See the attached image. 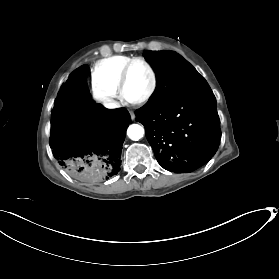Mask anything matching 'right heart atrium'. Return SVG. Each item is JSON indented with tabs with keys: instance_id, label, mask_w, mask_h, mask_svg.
I'll return each mask as SVG.
<instances>
[{
	"instance_id": "1",
	"label": "right heart atrium",
	"mask_w": 279,
	"mask_h": 279,
	"mask_svg": "<svg viewBox=\"0 0 279 279\" xmlns=\"http://www.w3.org/2000/svg\"><path fill=\"white\" fill-rule=\"evenodd\" d=\"M92 95L96 102L106 109H113L115 107V95L110 93L107 89L100 85H93Z\"/></svg>"
}]
</instances>
